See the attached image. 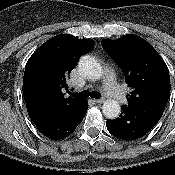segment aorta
<instances>
[{
	"label": "aorta",
	"instance_id": "1",
	"mask_svg": "<svg viewBox=\"0 0 175 175\" xmlns=\"http://www.w3.org/2000/svg\"><path fill=\"white\" fill-rule=\"evenodd\" d=\"M79 70L86 78L92 81H96L103 76V68L101 64L91 56H84L81 59L79 63ZM102 111L108 118L118 117L121 112L119 101L115 99H107L103 103Z\"/></svg>",
	"mask_w": 175,
	"mask_h": 175
}]
</instances>
